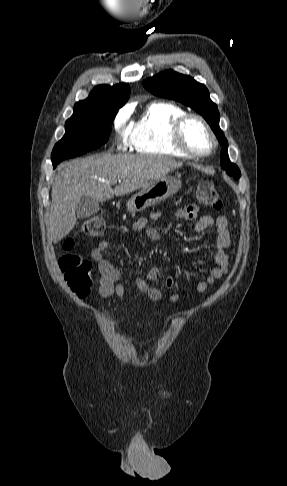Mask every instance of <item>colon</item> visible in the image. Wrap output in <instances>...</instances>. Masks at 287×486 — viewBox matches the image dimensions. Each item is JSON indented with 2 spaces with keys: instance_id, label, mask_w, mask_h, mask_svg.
I'll return each mask as SVG.
<instances>
[{
  "instance_id": "1",
  "label": "colon",
  "mask_w": 287,
  "mask_h": 486,
  "mask_svg": "<svg viewBox=\"0 0 287 486\" xmlns=\"http://www.w3.org/2000/svg\"><path fill=\"white\" fill-rule=\"evenodd\" d=\"M196 192L199 201L204 205L217 210L222 207L221 198L211 179L200 178L196 184ZM105 227V220L100 216H94L83 222L82 232L87 236L96 237L103 233ZM72 247L73 241L64 244L65 252L60 256L58 263L70 289L83 298L93 287L94 270L89 261L70 251Z\"/></svg>"
}]
</instances>
